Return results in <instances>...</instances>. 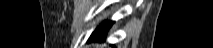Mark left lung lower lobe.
Returning a JSON list of instances; mask_svg holds the SVG:
<instances>
[{
  "label": "left lung lower lobe",
  "mask_w": 213,
  "mask_h": 48,
  "mask_svg": "<svg viewBox=\"0 0 213 48\" xmlns=\"http://www.w3.org/2000/svg\"><path fill=\"white\" fill-rule=\"evenodd\" d=\"M112 23H113L112 21H104L91 34L89 40H104L109 28L112 25Z\"/></svg>",
  "instance_id": "obj_1"
}]
</instances>
